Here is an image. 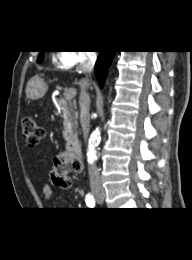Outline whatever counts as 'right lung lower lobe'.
Returning <instances> with one entry per match:
<instances>
[{
  "mask_svg": "<svg viewBox=\"0 0 192 260\" xmlns=\"http://www.w3.org/2000/svg\"><path fill=\"white\" fill-rule=\"evenodd\" d=\"M116 51H100L98 59L95 65V74L100 83V87H103L108 68L114 58Z\"/></svg>",
  "mask_w": 192,
  "mask_h": 260,
  "instance_id": "right-lung-lower-lobe-1",
  "label": "right lung lower lobe"
}]
</instances>
